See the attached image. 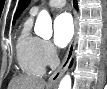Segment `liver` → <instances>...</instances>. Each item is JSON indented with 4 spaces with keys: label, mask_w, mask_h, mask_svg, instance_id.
Here are the masks:
<instances>
[{
    "label": "liver",
    "mask_w": 107,
    "mask_h": 89,
    "mask_svg": "<svg viewBox=\"0 0 107 89\" xmlns=\"http://www.w3.org/2000/svg\"><path fill=\"white\" fill-rule=\"evenodd\" d=\"M46 82L44 79L34 76L20 75L14 77L8 86V89H44Z\"/></svg>",
    "instance_id": "6515ba94"
}]
</instances>
